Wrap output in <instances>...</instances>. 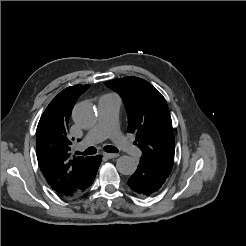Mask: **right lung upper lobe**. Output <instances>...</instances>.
Wrapping results in <instances>:
<instances>
[{"label": "right lung upper lobe", "mask_w": 246, "mask_h": 246, "mask_svg": "<svg viewBox=\"0 0 246 246\" xmlns=\"http://www.w3.org/2000/svg\"><path fill=\"white\" fill-rule=\"evenodd\" d=\"M89 85H75L61 91L42 114L36 130L39 167L51 187L63 197L73 196L91 169L92 157L72 156L68 123L72 109Z\"/></svg>", "instance_id": "cb5924a9"}]
</instances>
